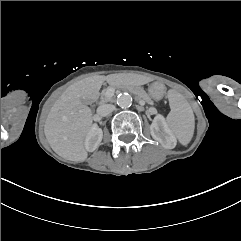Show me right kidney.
Here are the masks:
<instances>
[{"instance_id":"obj_1","label":"right kidney","mask_w":241,"mask_h":241,"mask_svg":"<svg viewBox=\"0 0 241 241\" xmlns=\"http://www.w3.org/2000/svg\"><path fill=\"white\" fill-rule=\"evenodd\" d=\"M102 138H103L102 129L99 128L97 124H93L85 138V142H84L85 149L88 152L95 151L98 148L99 144L101 143Z\"/></svg>"}]
</instances>
